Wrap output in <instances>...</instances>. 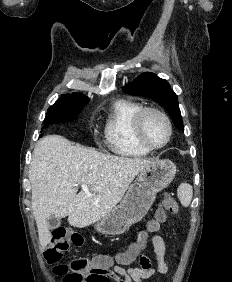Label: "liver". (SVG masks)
<instances>
[{
	"label": "liver",
	"instance_id": "6515ba94",
	"mask_svg": "<svg viewBox=\"0 0 232 282\" xmlns=\"http://www.w3.org/2000/svg\"><path fill=\"white\" fill-rule=\"evenodd\" d=\"M152 161L100 153L74 146L59 135L40 139L29 167L32 210L39 242L51 240L50 216L68 217L74 227H86L105 217L123 198L130 183ZM87 185L77 194V186Z\"/></svg>",
	"mask_w": 232,
	"mask_h": 282
}]
</instances>
